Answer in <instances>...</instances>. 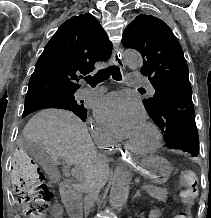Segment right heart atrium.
<instances>
[{"mask_svg":"<svg viewBox=\"0 0 211 218\" xmlns=\"http://www.w3.org/2000/svg\"><path fill=\"white\" fill-rule=\"evenodd\" d=\"M92 133H93L94 139L99 145H107L111 143V140L108 137V135L101 129L94 128L92 130Z\"/></svg>","mask_w":211,"mask_h":218,"instance_id":"right-heart-atrium-1","label":"right heart atrium"}]
</instances>
